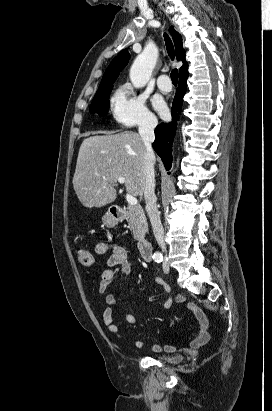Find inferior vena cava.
Returning a JSON list of instances; mask_svg holds the SVG:
<instances>
[{"label": "inferior vena cava", "mask_w": 272, "mask_h": 411, "mask_svg": "<svg viewBox=\"0 0 272 411\" xmlns=\"http://www.w3.org/2000/svg\"><path fill=\"white\" fill-rule=\"evenodd\" d=\"M158 121L155 117H146L139 124V134L145 146L144 167H145V189L144 198L146 203V211L148 213L153 233L158 245L163 252H166L164 242V229L160 220V214L156 206L155 195V173L154 163L155 155L152 149V143L155 139L154 129Z\"/></svg>", "instance_id": "obj_1"}]
</instances>
